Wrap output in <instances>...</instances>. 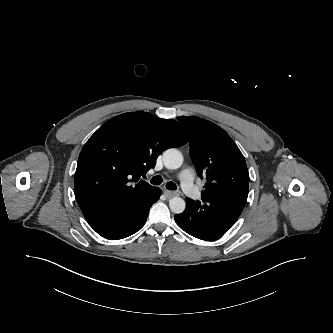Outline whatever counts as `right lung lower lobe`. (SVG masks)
Here are the masks:
<instances>
[{
	"mask_svg": "<svg viewBox=\"0 0 333 333\" xmlns=\"http://www.w3.org/2000/svg\"><path fill=\"white\" fill-rule=\"evenodd\" d=\"M161 190L155 188L143 200L126 206H101L83 211L88 224L101 236L118 240L128 237L145 224L151 206L159 199Z\"/></svg>",
	"mask_w": 333,
	"mask_h": 333,
	"instance_id": "right-lung-lower-lobe-1",
	"label": "right lung lower lobe"
}]
</instances>
